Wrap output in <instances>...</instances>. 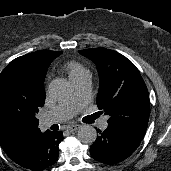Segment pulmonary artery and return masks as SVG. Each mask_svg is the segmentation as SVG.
I'll return each instance as SVG.
<instances>
[{"instance_id": "pulmonary-artery-1", "label": "pulmonary artery", "mask_w": 171, "mask_h": 171, "mask_svg": "<svg viewBox=\"0 0 171 171\" xmlns=\"http://www.w3.org/2000/svg\"><path fill=\"white\" fill-rule=\"evenodd\" d=\"M74 92L69 100L60 103L49 110L43 117V122L46 125H51L74 116L78 110L84 107L91 96V75L84 74L72 80ZM101 128L105 129L108 126V118L100 119Z\"/></svg>"}]
</instances>
